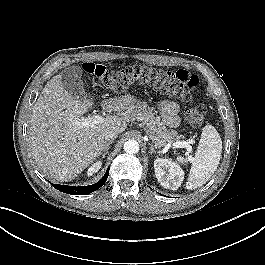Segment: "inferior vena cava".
I'll return each mask as SVG.
<instances>
[{
  "mask_svg": "<svg viewBox=\"0 0 265 265\" xmlns=\"http://www.w3.org/2000/svg\"><path fill=\"white\" fill-rule=\"evenodd\" d=\"M118 137V133L115 131H108L103 134V138L107 141L113 140Z\"/></svg>",
  "mask_w": 265,
  "mask_h": 265,
  "instance_id": "inferior-vena-cava-1",
  "label": "inferior vena cava"
}]
</instances>
